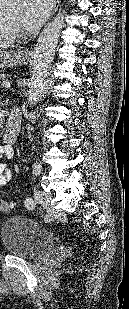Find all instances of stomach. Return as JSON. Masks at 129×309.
<instances>
[{"instance_id": "stomach-1", "label": "stomach", "mask_w": 129, "mask_h": 309, "mask_svg": "<svg viewBox=\"0 0 129 309\" xmlns=\"http://www.w3.org/2000/svg\"><path fill=\"white\" fill-rule=\"evenodd\" d=\"M29 56L25 51H6L0 50V69L13 67L27 63Z\"/></svg>"}]
</instances>
